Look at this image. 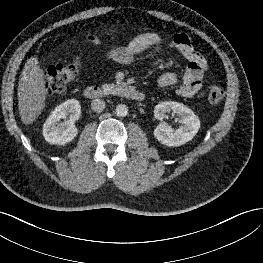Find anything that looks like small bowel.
Segmentation results:
<instances>
[{
    "instance_id": "small-bowel-1",
    "label": "small bowel",
    "mask_w": 263,
    "mask_h": 263,
    "mask_svg": "<svg viewBox=\"0 0 263 263\" xmlns=\"http://www.w3.org/2000/svg\"><path fill=\"white\" fill-rule=\"evenodd\" d=\"M88 40L95 45L100 43L94 35H89ZM154 46L166 50L176 49L188 60V65L176 94L182 97H192L197 94L201 89L202 78L207 71L208 65L206 59L195 49L186 34H177L173 39L165 40L158 33H142L125 46L111 45L106 52V57L116 63L127 65L134 61L136 55ZM178 81V74L170 71L158 78L157 85L163 88L174 85Z\"/></svg>"
}]
</instances>
